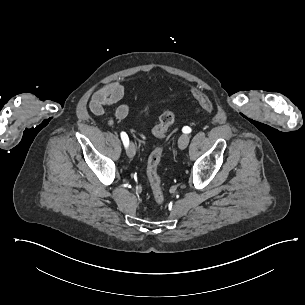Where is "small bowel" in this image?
<instances>
[{
  "mask_svg": "<svg viewBox=\"0 0 305 305\" xmlns=\"http://www.w3.org/2000/svg\"><path fill=\"white\" fill-rule=\"evenodd\" d=\"M124 95V87L121 83L114 81L100 89L92 96L89 102V109L97 116H106V108L120 101ZM130 107L127 104H121L114 112V118L122 120L128 116ZM106 123L109 126L114 124L113 118L106 117Z\"/></svg>",
  "mask_w": 305,
  "mask_h": 305,
  "instance_id": "c3829d8e",
  "label": "small bowel"
}]
</instances>
